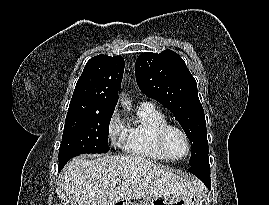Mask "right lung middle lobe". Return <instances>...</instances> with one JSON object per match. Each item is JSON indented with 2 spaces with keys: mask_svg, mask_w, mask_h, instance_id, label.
Listing matches in <instances>:
<instances>
[{
  "mask_svg": "<svg viewBox=\"0 0 269 205\" xmlns=\"http://www.w3.org/2000/svg\"><path fill=\"white\" fill-rule=\"evenodd\" d=\"M113 112L69 108L65 120L59 159L68 153L109 151L108 131Z\"/></svg>",
  "mask_w": 269,
  "mask_h": 205,
  "instance_id": "1",
  "label": "right lung middle lobe"
}]
</instances>
